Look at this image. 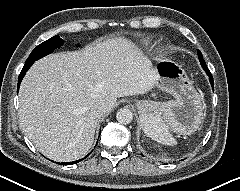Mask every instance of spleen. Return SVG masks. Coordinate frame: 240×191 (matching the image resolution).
I'll return each mask as SVG.
<instances>
[{"mask_svg":"<svg viewBox=\"0 0 240 191\" xmlns=\"http://www.w3.org/2000/svg\"><path fill=\"white\" fill-rule=\"evenodd\" d=\"M141 122L143 131L151 139L168 146L177 144V141L169 132V125L165 118L157 112L143 116Z\"/></svg>","mask_w":240,"mask_h":191,"instance_id":"3e777b00","label":"spleen"}]
</instances>
